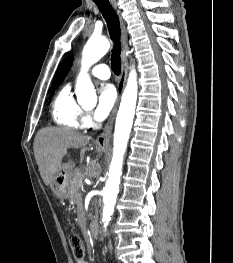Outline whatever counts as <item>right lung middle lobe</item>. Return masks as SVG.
I'll return each instance as SVG.
<instances>
[{
	"label": "right lung middle lobe",
	"instance_id": "dd1d6c3e",
	"mask_svg": "<svg viewBox=\"0 0 233 263\" xmlns=\"http://www.w3.org/2000/svg\"><path fill=\"white\" fill-rule=\"evenodd\" d=\"M55 88H57V87L51 88V89L49 90V92L53 91ZM51 95L53 96V95H54V92H52Z\"/></svg>",
	"mask_w": 233,
	"mask_h": 263
}]
</instances>
